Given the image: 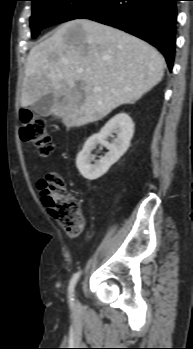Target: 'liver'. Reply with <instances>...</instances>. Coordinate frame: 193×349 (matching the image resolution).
I'll return each mask as SVG.
<instances>
[{"instance_id": "obj_1", "label": "liver", "mask_w": 193, "mask_h": 349, "mask_svg": "<svg viewBox=\"0 0 193 349\" xmlns=\"http://www.w3.org/2000/svg\"><path fill=\"white\" fill-rule=\"evenodd\" d=\"M164 67V57L141 39L87 19L72 20L30 50L21 106L51 94L50 114L67 128L84 126L135 103L162 80Z\"/></svg>"}]
</instances>
